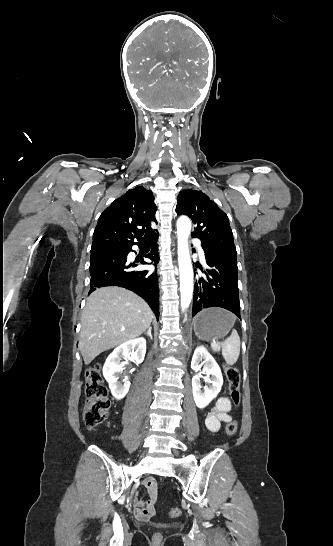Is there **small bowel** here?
I'll return each mask as SVG.
<instances>
[{
    "mask_svg": "<svg viewBox=\"0 0 333 546\" xmlns=\"http://www.w3.org/2000/svg\"><path fill=\"white\" fill-rule=\"evenodd\" d=\"M231 403L228 398L220 397L205 418V426L208 431L215 433L219 431L221 423L231 420L229 411ZM157 499V484L153 478H148L144 483L142 496L136 500L134 515L137 519L148 520L154 513V503Z\"/></svg>",
    "mask_w": 333,
    "mask_h": 546,
    "instance_id": "small-bowel-1",
    "label": "small bowel"
}]
</instances>
